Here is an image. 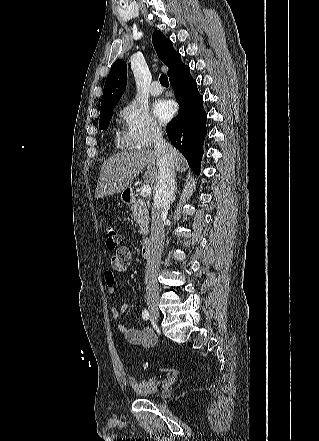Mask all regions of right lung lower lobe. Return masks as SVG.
Wrapping results in <instances>:
<instances>
[{
	"mask_svg": "<svg viewBox=\"0 0 319 441\" xmlns=\"http://www.w3.org/2000/svg\"><path fill=\"white\" fill-rule=\"evenodd\" d=\"M170 78L179 112L166 127L171 143L184 155L192 171L200 174L203 142L207 134V114L203 108V97L197 90V83L185 66Z\"/></svg>",
	"mask_w": 319,
	"mask_h": 441,
	"instance_id": "right-lung-lower-lobe-1",
	"label": "right lung lower lobe"
}]
</instances>
